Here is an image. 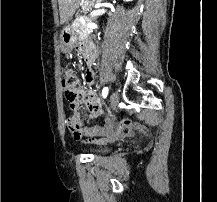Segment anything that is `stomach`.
Returning <instances> with one entry per match:
<instances>
[{"label": "stomach", "instance_id": "stomach-1", "mask_svg": "<svg viewBox=\"0 0 217 202\" xmlns=\"http://www.w3.org/2000/svg\"><path fill=\"white\" fill-rule=\"evenodd\" d=\"M95 0H81L80 6L82 8V12H90L94 6ZM79 34L72 30L71 26H64L61 32V52L62 54H70L73 48L77 46L79 42Z\"/></svg>", "mask_w": 217, "mask_h": 202}]
</instances>
